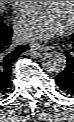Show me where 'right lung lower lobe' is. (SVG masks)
I'll list each match as a JSON object with an SVG mask.
<instances>
[{"label":"right lung lower lobe","mask_w":74,"mask_h":122,"mask_svg":"<svg viewBox=\"0 0 74 122\" xmlns=\"http://www.w3.org/2000/svg\"><path fill=\"white\" fill-rule=\"evenodd\" d=\"M11 38L12 28L0 21V96L10 91L13 63L22 53L29 49L28 45H12Z\"/></svg>","instance_id":"obj_1"}]
</instances>
